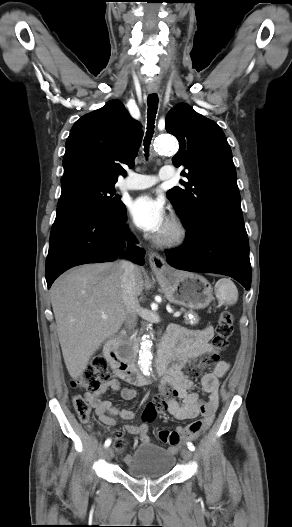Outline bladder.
<instances>
[{"mask_svg":"<svg viewBox=\"0 0 292 527\" xmlns=\"http://www.w3.org/2000/svg\"><path fill=\"white\" fill-rule=\"evenodd\" d=\"M174 464L171 451L154 443H144L125 458L124 470L136 479H155L168 475Z\"/></svg>","mask_w":292,"mask_h":527,"instance_id":"obj_1","label":"bladder"}]
</instances>
